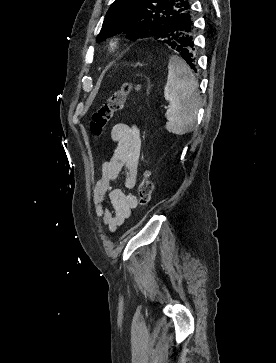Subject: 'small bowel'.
I'll use <instances>...</instances> for the list:
<instances>
[{
	"instance_id": "1",
	"label": "small bowel",
	"mask_w": 276,
	"mask_h": 363,
	"mask_svg": "<svg viewBox=\"0 0 276 363\" xmlns=\"http://www.w3.org/2000/svg\"><path fill=\"white\" fill-rule=\"evenodd\" d=\"M110 138L115 144V150L102 165L101 175L93 189V204L96 217L111 232H115L137 206L134 194L113 188L112 183L126 169L125 187L132 189L136 185L141 149L140 130L135 124L117 123L111 129Z\"/></svg>"
}]
</instances>
